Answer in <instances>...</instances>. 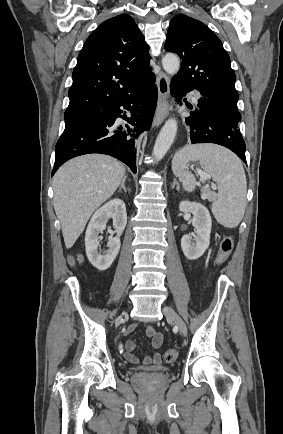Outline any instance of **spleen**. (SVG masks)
<instances>
[{"label": "spleen", "instance_id": "spleen-1", "mask_svg": "<svg viewBox=\"0 0 283 434\" xmlns=\"http://www.w3.org/2000/svg\"><path fill=\"white\" fill-rule=\"evenodd\" d=\"M190 161H200L202 169L216 182L218 194L213 198L212 213L223 226L234 228L241 222L246 207L247 182L240 159L228 149L213 144L186 146L176 153L172 170L186 191L196 186L188 171Z\"/></svg>", "mask_w": 283, "mask_h": 434}]
</instances>
